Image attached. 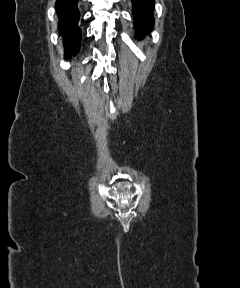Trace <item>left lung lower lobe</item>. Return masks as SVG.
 I'll return each instance as SVG.
<instances>
[{
	"label": "left lung lower lobe",
	"instance_id": "1",
	"mask_svg": "<svg viewBox=\"0 0 240 288\" xmlns=\"http://www.w3.org/2000/svg\"><path fill=\"white\" fill-rule=\"evenodd\" d=\"M132 4L135 28L139 36L141 33L145 34L153 27L152 10L154 8V0H132Z\"/></svg>",
	"mask_w": 240,
	"mask_h": 288
}]
</instances>
